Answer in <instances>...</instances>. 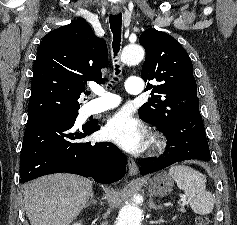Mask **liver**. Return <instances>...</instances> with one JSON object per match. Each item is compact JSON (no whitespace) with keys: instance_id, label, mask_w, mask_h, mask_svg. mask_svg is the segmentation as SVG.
I'll return each instance as SVG.
<instances>
[{"instance_id":"obj_1","label":"liver","mask_w":237,"mask_h":225,"mask_svg":"<svg viewBox=\"0 0 237 225\" xmlns=\"http://www.w3.org/2000/svg\"><path fill=\"white\" fill-rule=\"evenodd\" d=\"M92 181L73 174H51L24 185L31 225H69L87 204Z\"/></svg>"}]
</instances>
